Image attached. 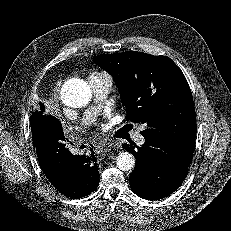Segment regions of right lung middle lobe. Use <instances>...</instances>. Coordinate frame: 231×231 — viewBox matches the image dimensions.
Returning a JSON list of instances; mask_svg holds the SVG:
<instances>
[{"label":"right lung middle lobe","mask_w":231,"mask_h":231,"mask_svg":"<svg viewBox=\"0 0 231 231\" xmlns=\"http://www.w3.org/2000/svg\"><path fill=\"white\" fill-rule=\"evenodd\" d=\"M44 111V106H40V111H35L33 112L31 118H30V123L37 121V119L42 118L43 112Z\"/></svg>","instance_id":"dd1d6c3e"}]
</instances>
